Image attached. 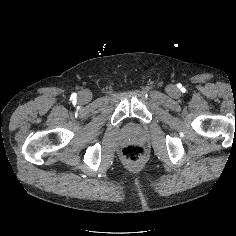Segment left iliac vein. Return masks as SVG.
<instances>
[{
  "mask_svg": "<svg viewBox=\"0 0 236 236\" xmlns=\"http://www.w3.org/2000/svg\"><path fill=\"white\" fill-rule=\"evenodd\" d=\"M167 93L173 98L179 96V91L174 85H170L167 87Z\"/></svg>",
  "mask_w": 236,
  "mask_h": 236,
  "instance_id": "left-iliac-vein-1",
  "label": "left iliac vein"
}]
</instances>
